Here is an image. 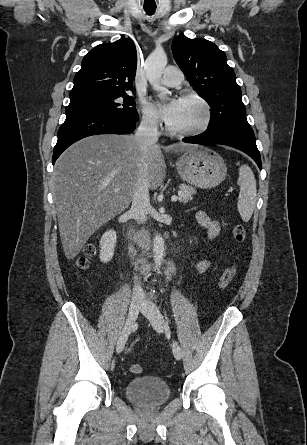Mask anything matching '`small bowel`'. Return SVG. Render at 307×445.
<instances>
[{
  "label": "small bowel",
  "mask_w": 307,
  "mask_h": 445,
  "mask_svg": "<svg viewBox=\"0 0 307 445\" xmlns=\"http://www.w3.org/2000/svg\"><path fill=\"white\" fill-rule=\"evenodd\" d=\"M196 221L197 223L203 227L204 229H206L207 231V235L210 239H215L219 232H220V225L217 221L212 220L210 217L207 216L206 213H204L203 211H199L196 214ZM211 255H215L217 254L216 251H211L210 252ZM209 266V263L207 260H196V262L193 264L194 269L198 272V273H203Z\"/></svg>",
  "instance_id": "c3829d8e"
}]
</instances>
